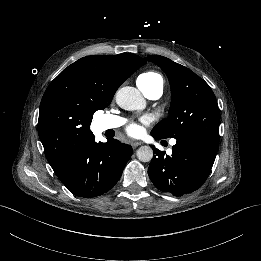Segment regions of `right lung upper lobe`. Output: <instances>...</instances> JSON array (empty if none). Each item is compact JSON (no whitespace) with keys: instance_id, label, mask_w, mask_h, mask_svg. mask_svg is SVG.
<instances>
[{"instance_id":"right-lung-upper-lobe-1","label":"right lung upper lobe","mask_w":261,"mask_h":261,"mask_svg":"<svg viewBox=\"0 0 261 261\" xmlns=\"http://www.w3.org/2000/svg\"><path fill=\"white\" fill-rule=\"evenodd\" d=\"M145 63L131 53L87 56L50 83L40 104L38 133L52 167L94 140L93 114L110 105L118 87Z\"/></svg>"}]
</instances>
